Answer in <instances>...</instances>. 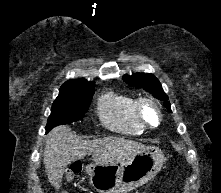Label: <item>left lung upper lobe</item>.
I'll use <instances>...</instances> for the list:
<instances>
[{
	"instance_id": "5c2ea615",
	"label": "left lung upper lobe",
	"mask_w": 221,
	"mask_h": 193,
	"mask_svg": "<svg viewBox=\"0 0 221 193\" xmlns=\"http://www.w3.org/2000/svg\"><path fill=\"white\" fill-rule=\"evenodd\" d=\"M123 80L132 86L145 89L155 98L164 101L166 108L171 112L170 104L167 102L168 96L164 93L160 82L154 75L134 73L129 76L125 74Z\"/></svg>"
}]
</instances>
